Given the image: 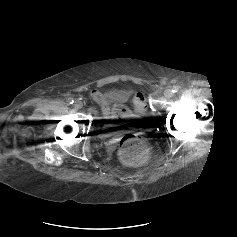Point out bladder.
I'll return each instance as SVG.
<instances>
[{"mask_svg":"<svg viewBox=\"0 0 237 237\" xmlns=\"http://www.w3.org/2000/svg\"><path fill=\"white\" fill-rule=\"evenodd\" d=\"M129 123H131L130 120L129 121L128 120H116L106 126V131L108 133H114L115 131L124 127L125 125H128Z\"/></svg>","mask_w":237,"mask_h":237,"instance_id":"obj_1","label":"bladder"}]
</instances>
